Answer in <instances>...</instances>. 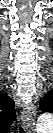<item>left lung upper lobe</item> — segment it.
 I'll list each match as a JSON object with an SVG mask.
<instances>
[{"instance_id": "1", "label": "left lung upper lobe", "mask_w": 53, "mask_h": 133, "mask_svg": "<svg viewBox=\"0 0 53 133\" xmlns=\"http://www.w3.org/2000/svg\"><path fill=\"white\" fill-rule=\"evenodd\" d=\"M40 109L43 112H50L53 113V98L51 94L46 95L41 101H40Z\"/></svg>"}]
</instances>
